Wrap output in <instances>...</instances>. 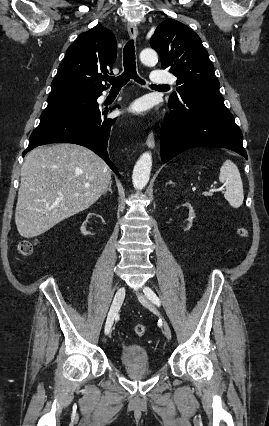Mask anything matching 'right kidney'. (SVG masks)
<instances>
[{"instance_id":"ca27d5eb","label":"right kidney","mask_w":269,"mask_h":426,"mask_svg":"<svg viewBox=\"0 0 269 426\" xmlns=\"http://www.w3.org/2000/svg\"><path fill=\"white\" fill-rule=\"evenodd\" d=\"M96 215L95 213H89L88 217H85V222L81 226V232L83 234H94L95 230H102L104 222V216H99V223H89L93 221L95 218L93 217Z\"/></svg>"}]
</instances>
